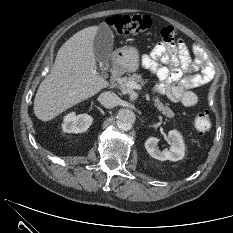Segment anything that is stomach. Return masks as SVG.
<instances>
[{"mask_svg": "<svg viewBox=\"0 0 233 233\" xmlns=\"http://www.w3.org/2000/svg\"><path fill=\"white\" fill-rule=\"evenodd\" d=\"M117 63L127 71H136L139 67V53L133 46H124L117 53Z\"/></svg>", "mask_w": 233, "mask_h": 233, "instance_id": "stomach-1", "label": "stomach"}]
</instances>
